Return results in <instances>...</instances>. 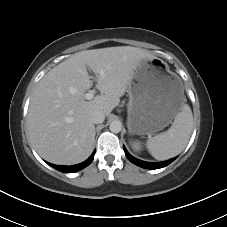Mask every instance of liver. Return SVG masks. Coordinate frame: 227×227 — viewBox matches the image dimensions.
I'll return each mask as SVG.
<instances>
[{"instance_id":"1","label":"liver","mask_w":227,"mask_h":227,"mask_svg":"<svg viewBox=\"0 0 227 227\" xmlns=\"http://www.w3.org/2000/svg\"><path fill=\"white\" fill-rule=\"evenodd\" d=\"M142 58L155 56L137 47H108L80 51L51 69L35 88L27 116L37 153L59 165L86 160L94 148L93 111L110 115ZM87 67L96 74V88L101 92L90 101L85 100V92L93 85Z\"/></svg>"}]
</instances>
